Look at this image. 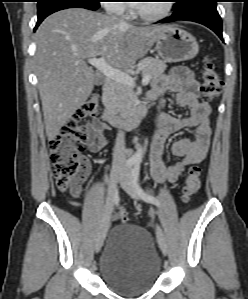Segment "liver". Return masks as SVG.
<instances>
[{
    "label": "liver",
    "instance_id": "1",
    "mask_svg": "<svg viewBox=\"0 0 248 299\" xmlns=\"http://www.w3.org/2000/svg\"><path fill=\"white\" fill-rule=\"evenodd\" d=\"M166 26L136 27L98 12L70 8L47 17L36 32L35 67L48 141H53L93 91L87 59L113 68L144 57Z\"/></svg>",
    "mask_w": 248,
    "mask_h": 299
}]
</instances>
